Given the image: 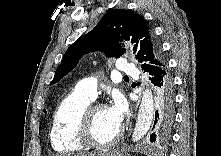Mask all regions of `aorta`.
<instances>
[{
  "label": "aorta",
  "instance_id": "762f6f07",
  "mask_svg": "<svg viewBox=\"0 0 221 156\" xmlns=\"http://www.w3.org/2000/svg\"><path fill=\"white\" fill-rule=\"evenodd\" d=\"M151 109L152 106L147 96L145 103L141 108V113L137 119L135 128L133 130L132 141L134 143L140 141L144 137V135H146V133L148 132L152 122Z\"/></svg>",
  "mask_w": 221,
  "mask_h": 156
}]
</instances>
